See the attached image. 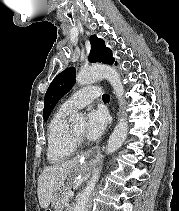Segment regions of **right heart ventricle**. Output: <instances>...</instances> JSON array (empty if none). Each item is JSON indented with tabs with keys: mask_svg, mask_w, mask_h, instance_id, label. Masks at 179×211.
Listing matches in <instances>:
<instances>
[{
	"mask_svg": "<svg viewBox=\"0 0 179 211\" xmlns=\"http://www.w3.org/2000/svg\"><path fill=\"white\" fill-rule=\"evenodd\" d=\"M71 112L56 111L47 127V159L51 164H62L74 156L76 146L73 143L68 117Z\"/></svg>",
	"mask_w": 179,
	"mask_h": 211,
	"instance_id": "1",
	"label": "right heart ventricle"
}]
</instances>
